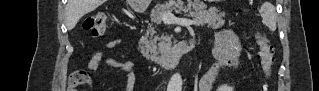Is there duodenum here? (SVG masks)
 Instances as JSON below:
<instances>
[{"instance_id":"obj_1","label":"duodenum","mask_w":319,"mask_h":91,"mask_svg":"<svg viewBox=\"0 0 319 91\" xmlns=\"http://www.w3.org/2000/svg\"><path fill=\"white\" fill-rule=\"evenodd\" d=\"M196 44V39L191 38L181 41L168 51H164L148 57L149 62L158 64L162 67H171L177 63L179 58L187 51L191 50Z\"/></svg>"}]
</instances>
